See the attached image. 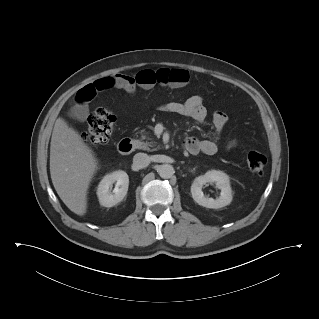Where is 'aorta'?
Returning <instances> with one entry per match:
<instances>
[{"label":"aorta","instance_id":"762f6f07","mask_svg":"<svg viewBox=\"0 0 319 319\" xmlns=\"http://www.w3.org/2000/svg\"><path fill=\"white\" fill-rule=\"evenodd\" d=\"M158 174L163 179H169L174 174V168L170 164H162L158 167Z\"/></svg>","mask_w":319,"mask_h":319}]
</instances>
